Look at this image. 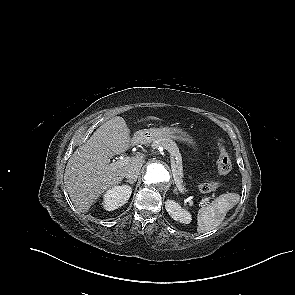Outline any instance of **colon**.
<instances>
[{"label": "colon", "mask_w": 295, "mask_h": 295, "mask_svg": "<svg viewBox=\"0 0 295 295\" xmlns=\"http://www.w3.org/2000/svg\"><path fill=\"white\" fill-rule=\"evenodd\" d=\"M216 167L220 175H226L232 168L231 158L222 141H219V155L217 158ZM218 186L219 181H206L200 185V191L202 193H211L214 192Z\"/></svg>", "instance_id": "1"}]
</instances>
